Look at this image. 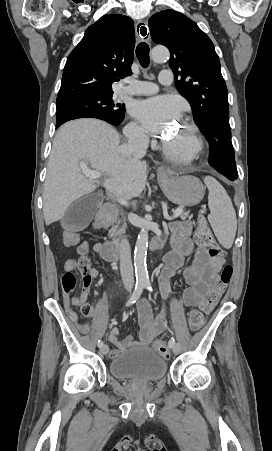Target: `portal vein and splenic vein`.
Returning <instances> with one entry per match:
<instances>
[{"mask_svg": "<svg viewBox=\"0 0 272 451\" xmlns=\"http://www.w3.org/2000/svg\"><path fill=\"white\" fill-rule=\"evenodd\" d=\"M82 174L86 176V178H89V180H98V178H101L102 174L101 172H98V170H83ZM119 204L121 206H128L127 200H118ZM183 210L182 208H178L174 214V218H177V216H180L182 214Z\"/></svg>", "mask_w": 272, "mask_h": 451, "instance_id": "18ae733b", "label": "portal vein and splenic vein"}]
</instances>
